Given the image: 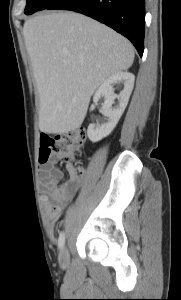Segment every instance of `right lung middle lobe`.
Masks as SVG:
<instances>
[{"instance_id": "1", "label": "right lung middle lobe", "mask_w": 181, "mask_h": 300, "mask_svg": "<svg viewBox=\"0 0 181 300\" xmlns=\"http://www.w3.org/2000/svg\"><path fill=\"white\" fill-rule=\"evenodd\" d=\"M55 0H27L24 13L26 15L33 14L34 12L44 10L50 6Z\"/></svg>"}]
</instances>
